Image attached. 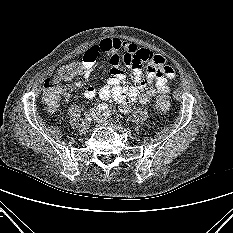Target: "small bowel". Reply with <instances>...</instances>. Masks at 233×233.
<instances>
[{
	"mask_svg": "<svg viewBox=\"0 0 233 233\" xmlns=\"http://www.w3.org/2000/svg\"><path fill=\"white\" fill-rule=\"evenodd\" d=\"M101 54L109 58L111 77L98 94L102 99L112 98L123 112H127L135 103L142 105L150 103L158 93H167L169 91L168 79H174L176 76L174 69L166 64L163 56L147 49L137 48L118 38H106L92 45L83 55L82 74L86 80L90 78L92 69ZM122 62L133 70V85L121 84L125 78L120 69ZM143 67L146 70L145 78ZM152 83L155 85L153 86ZM82 87L83 83L79 80L73 83V88L76 90ZM96 94L97 90L93 86L84 91V97L88 100L93 99Z\"/></svg>",
	"mask_w": 233,
	"mask_h": 233,
	"instance_id": "1",
	"label": "small bowel"
}]
</instances>
